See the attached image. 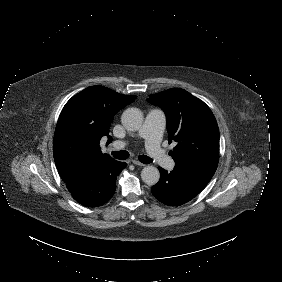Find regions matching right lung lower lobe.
<instances>
[{"label": "right lung lower lobe", "instance_id": "right-lung-lower-lobe-1", "mask_svg": "<svg viewBox=\"0 0 282 282\" xmlns=\"http://www.w3.org/2000/svg\"><path fill=\"white\" fill-rule=\"evenodd\" d=\"M125 167L124 162L106 160L84 170L65 184L74 199L83 206H101L114 195L116 177Z\"/></svg>", "mask_w": 282, "mask_h": 282}]
</instances>
